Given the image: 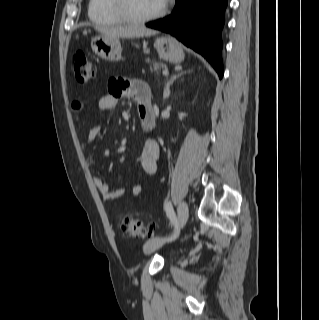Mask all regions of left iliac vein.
Returning a JSON list of instances; mask_svg holds the SVG:
<instances>
[{"instance_id":"4c4485c4","label":"left iliac vein","mask_w":319,"mask_h":320,"mask_svg":"<svg viewBox=\"0 0 319 320\" xmlns=\"http://www.w3.org/2000/svg\"><path fill=\"white\" fill-rule=\"evenodd\" d=\"M188 217H189L188 206L185 201H182L178 206V220H177V227H176L177 231L173 234V240H175L178 237V233L186 224ZM164 244H165V241H163L160 238L150 239L144 244V252L146 254L153 253L157 249L161 248Z\"/></svg>"}]
</instances>
